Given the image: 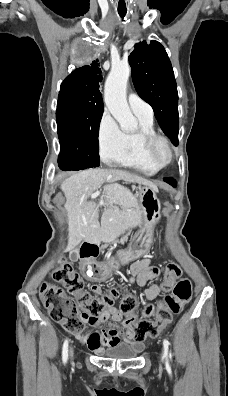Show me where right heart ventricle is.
I'll use <instances>...</instances> for the list:
<instances>
[{"mask_svg": "<svg viewBox=\"0 0 228 396\" xmlns=\"http://www.w3.org/2000/svg\"><path fill=\"white\" fill-rule=\"evenodd\" d=\"M139 121V130L134 133H125L124 147L113 163L134 169L145 175H153L159 171V168L151 165L144 156L139 131L156 133L154 128L153 117L137 115Z\"/></svg>", "mask_w": 228, "mask_h": 396, "instance_id": "right-heart-ventricle-1", "label": "right heart ventricle"}]
</instances>
